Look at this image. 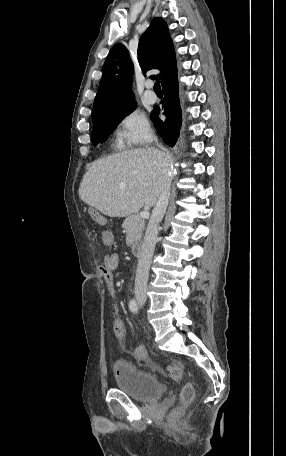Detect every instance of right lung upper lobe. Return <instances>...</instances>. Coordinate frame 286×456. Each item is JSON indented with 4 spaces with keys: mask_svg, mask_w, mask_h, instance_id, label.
I'll return each instance as SVG.
<instances>
[{
    "mask_svg": "<svg viewBox=\"0 0 286 456\" xmlns=\"http://www.w3.org/2000/svg\"><path fill=\"white\" fill-rule=\"evenodd\" d=\"M138 60L145 73L159 69L162 86L177 77L176 56L168 26L162 18L156 17L142 34L138 46ZM133 64L127 48L122 44L112 47L106 58L103 76L95 97L92 121L104 113L119 107L135 104L130 89Z\"/></svg>",
    "mask_w": 286,
    "mask_h": 456,
    "instance_id": "cb5924a9",
    "label": "right lung upper lobe"
}]
</instances>
